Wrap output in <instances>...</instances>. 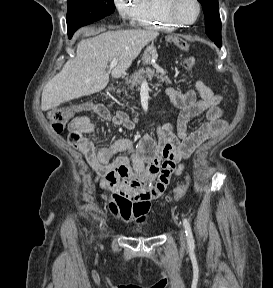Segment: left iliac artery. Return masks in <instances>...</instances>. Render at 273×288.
<instances>
[{
    "instance_id": "1",
    "label": "left iliac artery",
    "mask_w": 273,
    "mask_h": 288,
    "mask_svg": "<svg viewBox=\"0 0 273 288\" xmlns=\"http://www.w3.org/2000/svg\"><path fill=\"white\" fill-rule=\"evenodd\" d=\"M183 226L185 228L188 246L190 248H194V246H195L194 238H193L192 229H191V226H190L188 219H186V218L183 219Z\"/></svg>"
}]
</instances>
